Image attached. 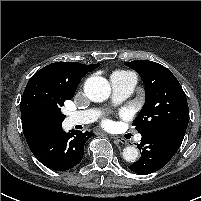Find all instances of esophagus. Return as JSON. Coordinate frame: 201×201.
<instances>
[{
	"mask_svg": "<svg viewBox=\"0 0 201 201\" xmlns=\"http://www.w3.org/2000/svg\"><path fill=\"white\" fill-rule=\"evenodd\" d=\"M116 142L121 143V144H127V141L122 138V137H112Z\"/></svg>",
	"mask_w": 201,
	"mask_h": 201,
	"instance_id": "1",
	"label": "esophagus"
}]
</instances>
